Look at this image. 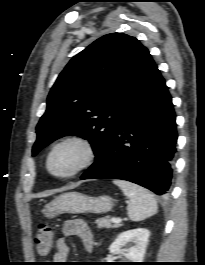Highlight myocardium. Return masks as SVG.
<instances>
[{"instance_id": "1", "label": "myocardium", "mask_w": 205, "mask_h": 265, "mask_svg": "<svg viewBox=\"0 0 205 265\" xmlns=\"http://www.w3.org/2000/svg\"><path fill=\"white\" fill-rule=\"evenodd\" d=\"M68 143L76 144L81 148L82 153H83L81 161L77 164L75 168H73L71 171L67 173H64V174L55 173L50 168L51 156L57 148H59L62 145L68 144ZM96 155H97V152H96L95 145L89 138L82 136V135H68L56 141L48 149L47 154L45 156V169L47 173L54 178L70 179V178L77 176L78 174L86 170L87 168H89L94 163L96 159Z\"/></svg>"}]
</instances>
